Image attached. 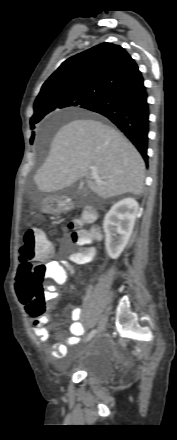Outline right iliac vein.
<instances>
[{
  "mask_svg": "<svg viewBox=\"0 0 177 440\" xmlns=\"http://www.w3.org/2000/svg\"><path fill=\"white\" fill-rule=\"evenodd\" d=\"M105 326H106V317H102L97 329L98 335H100L105 330Z\"/></svg>",
  "mask_w": 177,
  "mask_h": 440,
  "instance_id": "1",
  "label": "right iliac vein"
}]
</instances>
